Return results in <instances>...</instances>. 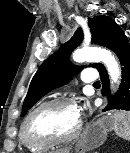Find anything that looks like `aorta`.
Returning <instances> with one entry per match:
<instances>
[{"instance_id":"762f6f07","label":"aorta","mask_w":130,"mask_h":153,"mask_svg":"<svg viewBox=\"0 0 130 153\" xmlns=\"http://www.w3.org/2000/svg\"><path fill=\"white\" fill-rule=\"evenodd\" d=\"M73 60L78 63L102 62L107 68L111 83H119L121 69L114 55L109 50L98 47H84L73 53Z\"/></svg>"}]
</instances>
